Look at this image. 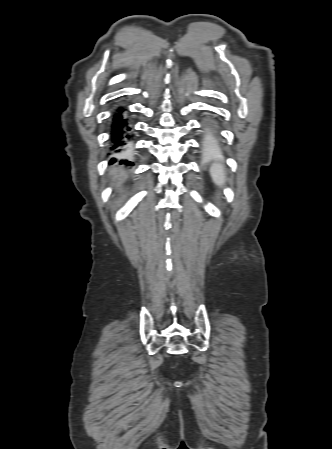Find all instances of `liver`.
Wrapping results in <instances>:
<instances>
[{
    "instance_id": "liver-1",
    "label": "liver",
    "mask_w": 332,
    "mask_h": 449,
    "mask_svg": "<svg viewBox=\"0 0 332 449\" xmlns=\"http://www.w3.org/2000/svg\"><path fill=\"white\" fill-rule=\"evenodd\" d=\"M110 175L112 176L113 181H123L126 177V173L121 168H113L110 171Z\"/></svg>"
}]
</instances>
